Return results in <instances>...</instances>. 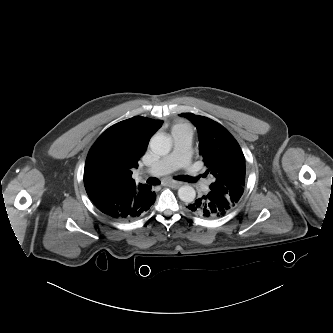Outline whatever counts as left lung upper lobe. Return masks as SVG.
Listing matches in <instances>:
<instances>
[{
    "mask_svg": "<svg viewBox=\"0 0 333 333\" xmlns=\"http://www.w3.org/2000/svg\"><path fill=\"white\" fill-rule=\"evenodd\" d=\"M181 116L189 119L198 129L200 154L214 182L210 191L225 196L234 207L245 186V157L233 136L217 122L192 113Z\"/></svg>",
    "mask_w": 333,
    "mask_h": 333,
    "instance_id": "5c2ea615",
    "label": "left lung upper lobe"
}]
</instances>
